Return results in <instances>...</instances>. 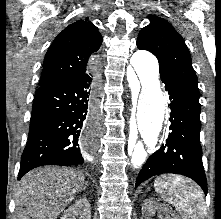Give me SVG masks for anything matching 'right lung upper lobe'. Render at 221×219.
I'll use <instances>...</instances> for the list:
<instances>
[{"mask_svg":"<svg viewBox=\"0 0 221 219\" xmlns=\"http://www.w3.org/2000/svg\"><path fill=\"white\" fill-rule=\"evenodd\" d=\"M102 36L92 22L79 20L59 33L47 51L39 86L62 82L90 71V56L96 52Z\"/></svg>","mask_w":221,"mask_h":219,"instance_id":"right-lung-upper-lobe-1","label":"right lung upper lobe"}]
</instances>
